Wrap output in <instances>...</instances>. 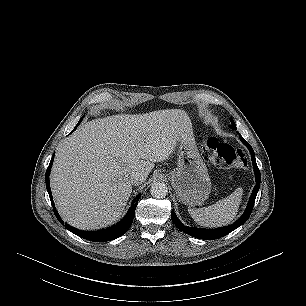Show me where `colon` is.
I'll list each match as a JSON object with an SVG mask.
<instances>
[{
    "label": "colon",
    "instance_id": "obj_1",
    "mask_svg": "<svg viewBox=\"0 0 306 306\" xmlns=\"http://www.w3.org/2000/svg\"><path fill=\"white\" fill-rule=\"evenodd\" d=\"M203 155L221 168L247 166L248 159L243 149L219 143L214 137H207L203 143Z\"/></svg>",
    "mask_w": 306,
    "mask_h": 306
}]
</instances>
